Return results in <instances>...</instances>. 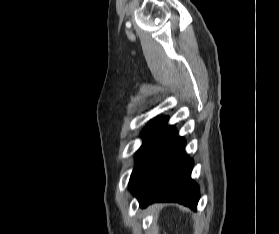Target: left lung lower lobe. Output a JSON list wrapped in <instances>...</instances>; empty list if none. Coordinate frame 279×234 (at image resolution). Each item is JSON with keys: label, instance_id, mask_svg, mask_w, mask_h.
Here are the masks:
<instances>
[{"label": "left lung lower lobe", "instance_id": "1", "mask_svg": "<svg viewBox=\"0 0 279 234\" xmlns=\"http://www.w3.org/2000/svg\"><path fill=\"white\" fill-rule=\"evenodd\" d=\"M168 118H156L136 154L129 190L140 206L153 202H178L196 210L198 186L191 179L193 161L184 152L185 140L177 136Z\"/></svg>", "mask_w": 279, "mask_h": 234}]
</instances>
